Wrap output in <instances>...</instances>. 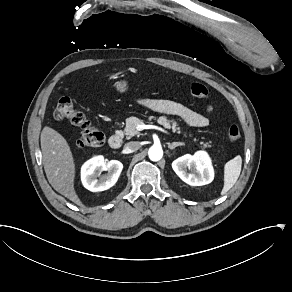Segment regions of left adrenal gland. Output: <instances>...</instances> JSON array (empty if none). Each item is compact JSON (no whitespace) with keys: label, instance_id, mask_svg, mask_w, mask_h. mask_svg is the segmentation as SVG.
Here are the masks:
<instances>
[{"label":"left adrenal gland","instance_id":"left-adrenal-gland-1","mask_svg":"<svg viewBox=\"0 0 292 292\" xmlns=\"http://www.w3.org/2000/svg\"><path fill=\"white\" fill-rule=\"evenodd\" d=\"M167 145H168V148L170 149V150H173V149H175L176 147H178V146H185V144H183V143H178V142H174V143H167Z\"/></svg>","mask_w":292,"mask_h":292}]
</instances>
